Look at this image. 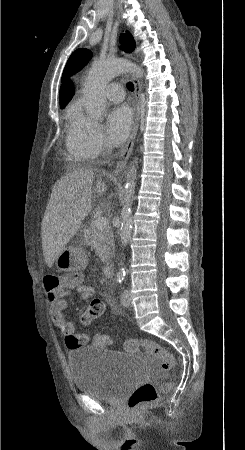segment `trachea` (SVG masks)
Returning a JSON list of instances; mask_svg holds the SVG:
<instances>
[{
	"label": "trachea",
	"instance_id": "3493384b",
	"mask_svg": "<svg viewBox=\"0 0 245 450\" xmlns=\"http://www.w3.org/2000/svg\"><path fill=\"white\" fill-rule=\"evenodd\" d=\"M127 87L130 91H134V85L132 82H128Z\"/></svg>",
	"mask_w": 245,
	"mask_h": 450
}]
</instances>
